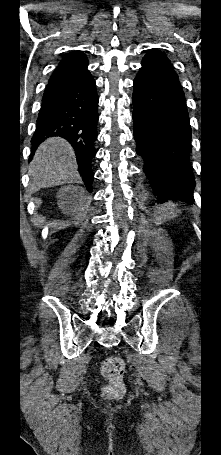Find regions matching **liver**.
I'll return each mask as SVG.
<instances>
[{
    "instance_id": "1",
    "label": "liver",
    "mask_w": 221,
    "mask_h": 455,
    "mask_svg": "<svg viewBox=\"0 0 221 455\" xmlns=\"http://www.w3.org/2000/svg\"><path fill=\"white\" fill-rule=\"evenodd\" d=\"M30 173L33 190L76 181L79 177L71 145L59 137L44 141L35 153Z\"/></svg>"
}]
</instances>
